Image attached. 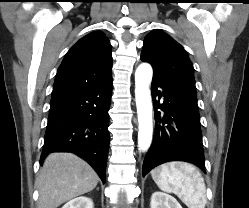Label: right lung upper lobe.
I'll return each instance as SVG.
<instances>
[{"instance_id": "1", "label": "right lung upper lobe", "mask_w": 249, "mask_h": 208, "mask_svg": "<svg viewBox=\"0 0 249 208\" xmlns=\"http://www.w3.org/2000/svg\"><path fill=\"white\" fill-rule=\"evenodd\" d=\"M110 47L101 31L92 32L75 43L58 68L52 97L92 88L110 79Z\"/></svg>"}]
</instances>
